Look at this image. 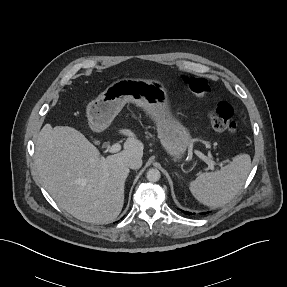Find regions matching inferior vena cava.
Instances as JSON below:
<instances>
[{"label":"inferior vena cava","mask_w":287,"mask_h":287,"mask_svg":"<svg viewBox=\"0 0 287 287\" xmlns=\"http://www.w3.org/2000/svg\"><path fill=\"white\" fill-rule=\"evenodd\" d=\"M127 166L131 169H139L142 166V159L139 157H131L127 161Z\"/></svg>","instance_id":"inferior-vena-cava-1"}]
</instances>
